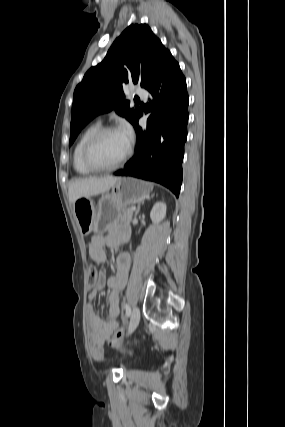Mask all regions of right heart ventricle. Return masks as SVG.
Masks as SVG:
<instances>
[{
	"instance_id": "1",
	"label": "right heart ventricle",
	"mask_w": 285,
	"mask_h": 427,
	"mask_svg": "<svg viewBox=\"0 0 285 427\" xmlns=\"http://www.w3.org/2000/svg\"><path fill=\"white\" fill-rule=\"evenodd\" d=\"M101 128L100 122H95L91 125H89L80 135L78 138L74 149H73V167L75 171L80 175H90L94 171L89 169L82 160V151L84 148L85 143L88 141V139L95 134L99 129Z\"/></svg>"
}]
</instances>
